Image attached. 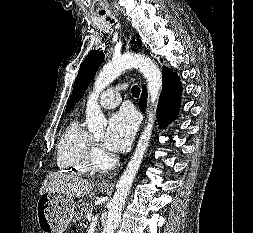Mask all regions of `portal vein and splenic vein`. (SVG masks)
Returning <instances> with one entry per match:
<instances>
[{"mask_svg": "<svg viewBox=\"0 0 253 233\" xmlns=\"http://www.w3.org/2000/svg\"><path fill=\"white\" fill-rule=\"evenodd\" d=\"M86 218H87L88 221H91L92 220V214L91 213L87 214Z\"/></svg>", "mask_w": 253, "mask_h": 233, "instance_id": "portal-vein-and-splenic-vein-1", "label": "portal vein and splenic vein"}]
</instances>
